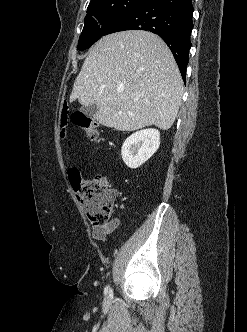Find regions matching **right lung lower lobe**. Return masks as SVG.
<instances>
[{
    "label": "right lung lower lobe",
    "instance_id": "obj_1",
    "mask_svg": "<svg viewBox=\"0 0 247 332\" xmlns=\"http://www.w3.org/2000/svg\"><path fill=\"white\" fill-rule=\"evenodd\" d=\"M192 16V0H147L113 23L105 35L124 30H147L159 35L171 49L185 81Z\"/></svg>",
    "mask_w": 247,
    "mask_h": 332
}]
</instances>
